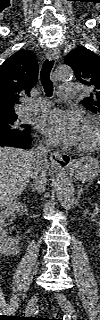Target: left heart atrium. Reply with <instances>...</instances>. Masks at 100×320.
<instances>
[{"mask_svg": "<svg viewBox=\"0 0 100 320\" xmlns=\"http://www.w3.org/2000/svg\"><path fill=\"white\" fill-rule=\"evenodd\" d=\"M81 117L72 111L54 109L43 114L37 121V129L53 143L74 145L80 141Z\"/></svg>", "mask_w": 100, "mask_h": 320, "instance_id": "1", "label": "left heart atrium"}]
</instances>
